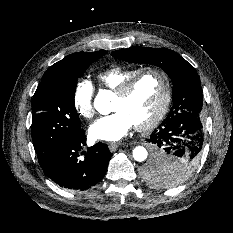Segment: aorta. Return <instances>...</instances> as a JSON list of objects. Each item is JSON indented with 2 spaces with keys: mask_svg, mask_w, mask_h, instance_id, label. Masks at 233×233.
<instances>
[{
  "mask_svg": "<svg viewBox=\"0 0 233 233\" xmlns=\"http://www.w3.org/2000/svg\"><path fill=\"white\" fill-rule=\"evenodd\" d=\"M111 92L101 90L94 100V107L100 114H108L110 112ZM148 152L143 146H137L133 150V158L138 162H143L147 159Z\"/></svg>",
  "mask_w": 233,
  "mask_h": 233,
  "instance_id": "obj_1",
  "label": "aorta"
}]
</instances>
